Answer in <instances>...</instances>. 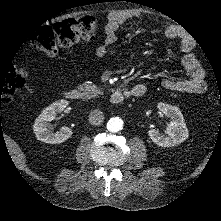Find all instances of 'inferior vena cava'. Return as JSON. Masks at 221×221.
<instances>
[{"mask_svg": "<svg viewBox=\"0 0 221 221\" xmlns=\"http://www.w3.org/2000/svg\"><path fill=\"white\" fill-rule=\"evenodd\" d=\"M88 120H89L90 124L93 125V126L101 125L104 122L103 112L100 111V110H93L89 114Z\"/></svg>", "mask_w": 221, "mask_h": 221, "instance_id": "602c4592", "label": "inferior vena cava"}]
</instances>
